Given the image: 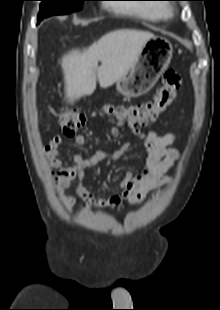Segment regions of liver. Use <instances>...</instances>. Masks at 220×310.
<instances>
[{"mask_svg":"<svg viewBox=\"0 0 220 310\" xmlns=\"http://www.w3.org/2000/svg\"><path fill=\"white\" fill-rule=\"evenodd\" d=\"M153 37L154 34L148 31L115 30L86 49H73L64 55L61 67L66 99L73 102L91 95L96 89L97 79L102 88L114 84L132 67L144 44Z\"/></svg>","mask_w":220,"mask_h":310,"instance_id":"obj_1","label":"liver"}]
</instances>
